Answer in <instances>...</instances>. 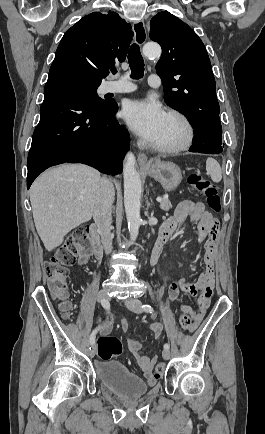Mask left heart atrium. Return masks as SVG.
<instances>
[{
    "instance_id": "1",
    "label": "left heart atrium",
    "mask_w": 265,
    "mask_h": 434,
    "mask_svg": "<svg viewBox=\"0 0 265 434\" xmlns=\"http://www.w3.org/2000/svg\"><path fill=\"white\" fill-rule=\"evenodd\" d=\"M123 117L133 131L154 143L167 116L160 104L149 100H139L129 101L125 105Z\"/></svg>"
}]
</instances>
